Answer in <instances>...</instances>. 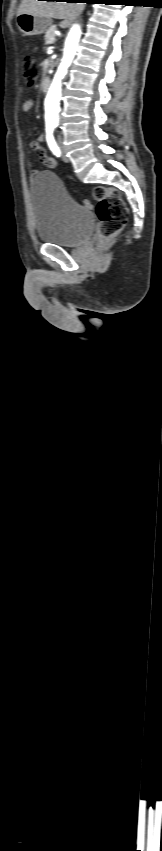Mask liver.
<instances>
[{
    "label": "liver",
    "instance_id": "6515ba94",
    "mask_svg": "<svg viewBox=\"0 0 162 851\" xmlns=\"http://www.w3.org/2000/svg\"><path fill=\"white\" fill-rule=\"evenodd\" d=\"M84 5L79 3L22 0L18 14L29 13L46 18L62 19L61 26L68 27L74 18L83 10Z\"/></svg>",
    "mask_w": 162,
    "mask_h": 851
}]
</instances>
